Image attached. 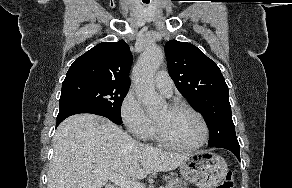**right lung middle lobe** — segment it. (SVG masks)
<instances>
[{"label": "right lung middle lobe", "mask_w": 292, "mask_h": 188, "mask_svg": "<svg viewBox=\"0 0 292 188\" xmlns=\"http://www.w3.org/2000/svg\"><path fill=\"white\" fill-rule=\"evenodd\" d=\"M129 86L116 85L94 79L64 80L60 107L79 105L122 121L120 109Z\"/></svg>", "instance_id": "dd1d6c3e"}]
</instances>
